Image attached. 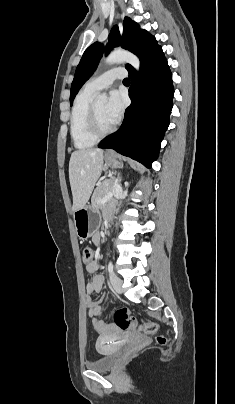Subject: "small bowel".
I'll use <instances>...</instances> for the list:
<instances>
[{"mask_svg": "<svg viewBox=\"0 0 235 404\" xmlns=\"http://www.w3.org/2000/svg\"><path fill=\"white\" fill-rule=\"evenodd\" d=\"M99 241V235H95L94 242ZM100 267L98 261H92L87 264L88 272L92 273L93 276L86 286L88 295L98 293L101 291L103 286V277L98 274H94ZM102 300H92L90 297L87 299L88 313L92 318L93 329L99 334L98 343L115 339L119 336V330L114 324L107 323L103 318V308L101 304Z\"/></svg>", "mask_w": 235, "mask_h": 404, "instance_id": "small-bowel-1", "label": "small bowel"}]
</instances>
